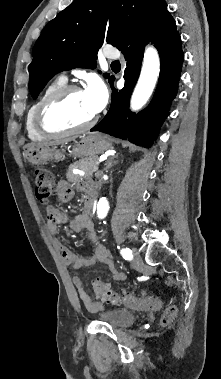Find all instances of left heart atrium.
I'll return each mask as SVG.
<instances>
[{
  "mask_svg": "<svg viewBox=\"0 0 221 379\" xmlns=\"http://www.w3.org/2000/svg\"><path fill=\"white\" fill-rule=\"evenodd\" d=\"M82 94L94 114L99 113L107 104L108 90L105 84L97 77H92L88 80Z\"/></svg>",
  "mask_w": 221,
  "mask_h": 379,
  "instance_id": "1",
  "label": "left heart atrium"
}]
</instances>
